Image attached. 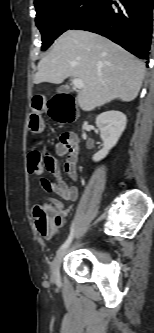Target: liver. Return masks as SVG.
<instances>
[{"instance_id": "liver-1", "label": "liver", "mask_w": 154, "mask_h": 333, "mask_svg": "<svg viewBox=\"0 0 154 333\" xmlns=\"http://www.w3.org/2000/svg\"><path fill=\"white\" fill-rule=\"evenodd\" d=\"M145 64L98 34L68 30L38 63L34 83L61 84L73 77L83 81L77 95L80 108L92 111L114 100H134L141 88Z\"/></svg>"}]
</instances>
